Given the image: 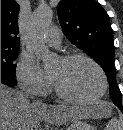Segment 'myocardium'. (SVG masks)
Returning a JSON list of instances; mask_svg holds the SVG:
<instances>
[{
	"label": "myocardium",
	"instance_id": "f54148a6",
	"mask_svg": "<svg viewBox=\"0 0 123 130\" xmlns=\"http://www.w3.org/2000/svg\"><path fill=\"white\" fill-rule=\"evenodd\" d=\"M61 60L64 61V62H69V61H73V60H84V61L89 62L99 72L100 77H101V81H102V87H101L100 92L98 94H96L95 96H92V97H89V98H76V97L70 96L67 93H65L59 87V85L56 83V81L50 76L52 88H53L55 94L60 99L66 101V102H69V103L86 104V103L95 102V101L101 99L104 96V94L106 93L107 88H108V79H107L105 71L99 65V63H97L93 58H91V57H89L85 54H81V53L66 54V55L61 57Z\"/></svg>",
	"mask_w": 123,
	"mask_h": 130
}]
</instances>
